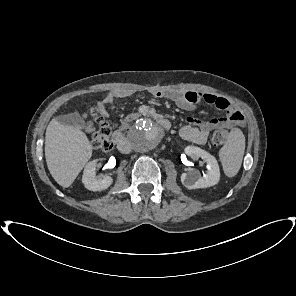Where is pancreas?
<instances>
[{"mask_svg": "<svg viewBox=\"0 0 296 296\" xmlns=\"http://www.w3.org/2000/svg\"><path fill=\"white\" fill-rule=\"evenodd\" d=\"M132 117L131 116H127L125 119H123L121 121L122 123V126H121V129H126L129 127V122L131 121Z\"/></svg>", "mask_w": 296, "mask_h": 296, "instance_id": "1", "label": "pancreas"}]
</instances>
